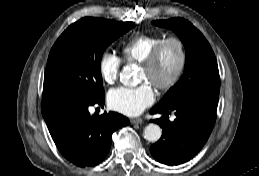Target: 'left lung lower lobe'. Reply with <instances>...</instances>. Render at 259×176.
Segmentation results:
<instances>
[{
  "instance_id": "obj_1",
  "label": "left lung lower lobe",
  "mask_w": 259,
  "mask_h": 176,
  "mask_svg": "<svg viewBox=\"0 0 259 176\" xmlns=\"http://www.w3.org/2000/svg\"><path fill=\"white\" fill-rule=\"evenodd\" d=\"M217 106L190 101L166 109L152 108L151 113L164 117L154 120L162 128V137L150 148L152 156L166 165H179L194 157L207 142L216 120ZM176 115L171 122L168 115Z\"/></svg>"
}]
</instances>
